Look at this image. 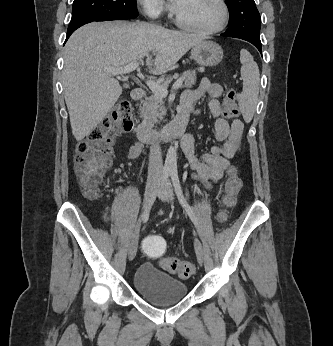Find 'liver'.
<instances>
[{"label": "liver", "instance_id": "1", "mask_svg": "<svg viewBox=\"0 0 333 346\" xmlns=\"http://www.w3.org/2000/svg\"><path fill=\"white\" fill-rule=\"evenodd\" d=\"M203 40L201 35L146 23L94 22L77 29L65 45L62 72L75 139L89 135L122 94L119 82L105 68L143 63L147 57L149 72L163 74Z\"/></svg>", "mask_w": 333, "mask_h": 346}]
</instances>
